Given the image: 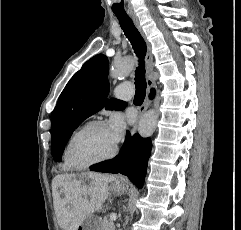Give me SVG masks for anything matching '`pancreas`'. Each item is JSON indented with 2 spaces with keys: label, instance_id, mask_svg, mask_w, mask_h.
<instances>
[{
  "label": "pancreas",
  "instance_id": "1",
  "mask_svg": "<svg viewBox=\"0 0 241 230\" xmlns=\"http://www.w3.org/2000/svg\"><path fill=\"white\" fill-rule=\"evenodd\" d=\"M100 230H115V225L106 217L100 224Z\"/></svg>",
  "mask_w": 241,
  "mask_h": 230
}]
</instances>
